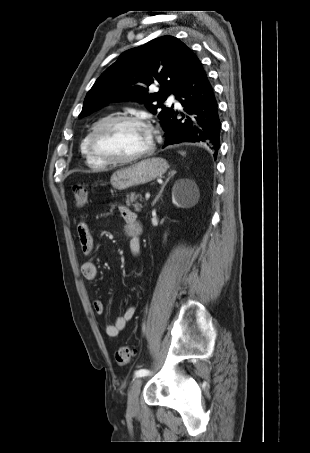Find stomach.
Returning a JSON list of instances; mask_svg holds the SVG:
<instances>
[{
  "label": "stomach",
  "instance_id": "0dacf381",
  "mask_svg": "<svg viewBox=\"0 0 310 453\" xmlns=\"http://www.w3.org/2000/svg\"><path fill=\"white\" fill-rule=\"evenodd\" d=\"M168 169V163L163 158H148L129 167L115 171L110 183L117 190L139 186L162 176Z\"/></svg>",
  "mask_w": 310,
  "mask_h": 453
}]
</instances>
